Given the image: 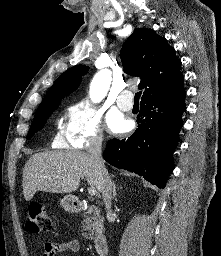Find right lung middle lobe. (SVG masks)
Here are the masks:
<instances>
[{"mask_svg": "<svg viewBox=\"0 0 221 256\" xmlns=\"http://www.w3.org/2000/svg\"><path fill=\"white\" fill-rule=\"evenodd\" d=\"M60 102L61 98L57 97L40 104L35 113L33 124L28 132L27 139H30L35 132L39 131L45 125L48 117L56 110Z\"/></svg>", "mask_w": 221, "mask_h": 256, "instance_id": "1", "label": "right lung middle lobe"}]
</instances>
